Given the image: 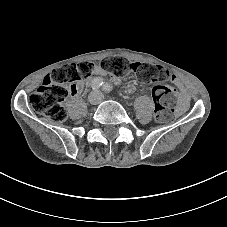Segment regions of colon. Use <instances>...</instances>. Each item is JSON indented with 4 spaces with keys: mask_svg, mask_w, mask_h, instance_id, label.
<instances>
[{
    "mask_svg": "<svg viewBox=\"0 0 227 227\" xmlns=\"http://www.w3.org/2000/svg\"><path fill=\"white\" fill-rule=\"evenodd\" d=\"M100 67L117 77L133 72L146 82H162L173 76L163 66L140 62L130 63L122 57L106 58L101 61ZM93 71L94 65L90 62L68 64L54 70L30 95L31 107L55 122L64 121L66 118L64 99L69 93H75L80 82L87 79ZM152 96L155 102V120L159 123L170 122L177 101L176 91L166 85H156L152 89Z\"/></svg>",
    "mask_w": 227,
    "mask_h": 227,
    "instance_id": "colon-1",
    "label": "colon"
}]
</instances>
